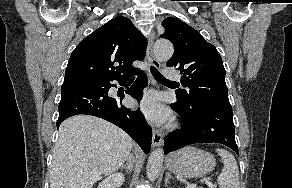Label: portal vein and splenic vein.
<instances>
[{
	"instance_id": "1",
	"label": "portal vein and splenic vein",
	"mask_w": 292,
	"mask_h": 188,
	"mask_svg": "<svg viewBox=\"0 0 292 188\" xmlns=\"http://www.w3.org/2000/svg\"><path fill=\"white\" fill-rule=\"evenodd\" d=\"M205 183L209 186V188H214V185L211 182L206 181ZM186 188H196V185H188Z\"/></svg>"
}]
</instances>
